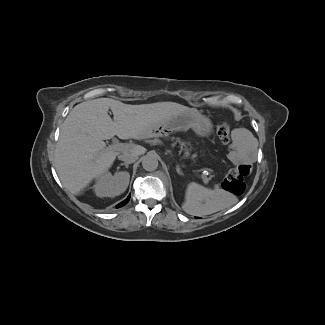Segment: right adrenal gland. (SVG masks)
Masks as SVG:
<instances>
[{"instance_id":"1","label":"right adrenal gland","mask_w":325,"mask_h":325,"mask_svg":"<svg viewBox=\"0 0 325 325\" xmlns=\"http://www.w3.org/2000/svg\"><path fill=\"white\" fill-rule=\"evenodd\" d=\"M120 166H125L126 168H128L129 164L125 162V163H121Z\"/></svg>"}]
</instances>
